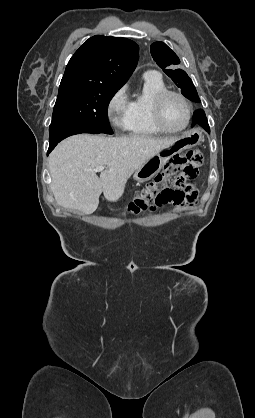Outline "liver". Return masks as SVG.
<instances>
[{
    "label": "liver",
    "instance_id": "liver-1",
    "mask_svg": "<svg viewBox=\"0 0 255 418\" xmlns=\"http://www.w3.org/2000/svg\"><path fill=\"white\" fill-rule=\"evenodd\" d=\"M177 138L106 137L80 134L57 145L49 156L51 190L58 205L93 213L103 192L117 201L130 176L146 161L170 147ZM106 166L100 177L94 169Z\"/></svg>",
    "mask_w": 255,
    "mask_h": 418
}]
</instances>
